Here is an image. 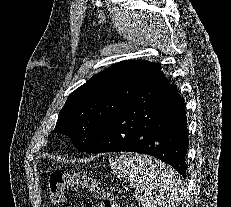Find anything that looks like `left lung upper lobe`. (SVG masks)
I'll return each instance as SVG.
<instances>
[{"label":"left lung upper lobe","instance_id":"5c2ea615","mask_svg":"<svg viewBox=\"0 0 231 207\" xmlns=\"http://www.w3.org/2000/svg\"><path fill=\"white\" fill-rule=\"evenodd\" d=\"M155 66L145 60H128L94 75L69 96L53 133L68 135L79 151H85L111 118L141 91Z\"/></svg>","mask_w":231,"mask_h":207}]
</instances>
